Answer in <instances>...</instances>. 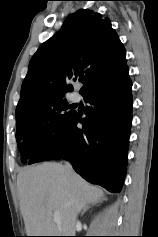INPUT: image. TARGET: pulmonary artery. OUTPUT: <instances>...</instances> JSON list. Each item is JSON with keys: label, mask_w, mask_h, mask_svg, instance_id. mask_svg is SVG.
Here are the masks:
<instances>
[{"label": "pulmonary artery", "mask_w": 158, "mask_h": 237, "mask_svg": "<svg viewBox=\"0 0 158 237\" xmlns=\"http://www.w3.org/2000/svg\"><path fill=\"white\" fill-rule=\"evenodd\" d=\"M79 94H77V93H73L72 95H71V101L72 102H78L79 101Z\"/></svg>", "instance_id": "pulmonary-artery-1"}]
</instances>
